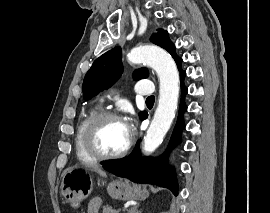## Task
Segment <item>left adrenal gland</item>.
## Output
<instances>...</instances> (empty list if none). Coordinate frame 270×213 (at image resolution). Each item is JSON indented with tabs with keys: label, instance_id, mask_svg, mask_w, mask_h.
<instances>
[{
	"label": "left adrenal gland",
	"instance_id": "a2214340",
	"mask_svg": "<svg viewBox=\"0 0 270 213\" xmlns=\"http://www.w3.org/2000/svg\"><path fill=\"white\" fill-rule=\"evenodd\" d=\"M128 213H141V211H138V206H133Z\"/></svg>",
	"mask_w": 270,
	"mask_h": 213
}]
</instances>
